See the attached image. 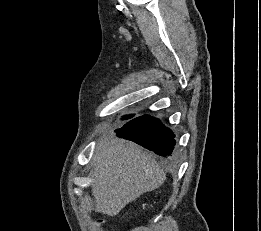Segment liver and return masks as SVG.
<instances>
[{"label":"liver","mask_w":261,"mask_h":231,"mask_svg":"<svg viewBox=\"0 0 261 231\" xmlns=\"http://www.w3.org/2000/svg\"><path fill=\"white\" fill-rule=\"evenodd\" d=\"M95 211L117 215L129 202L160 187L166 174L155 159L133 142L102 138L93 157Z\"/></svg>","instance_id":"1"}]
</instances>
